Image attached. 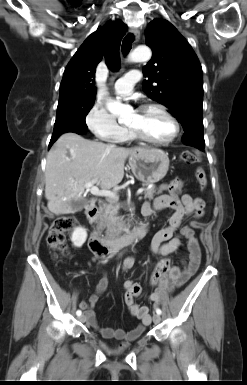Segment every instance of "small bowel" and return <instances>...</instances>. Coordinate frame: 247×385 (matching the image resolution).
Listing matches in <instances>:
<instances>
[{"mask_svg": "<svg viewBox=\"0 0 247 385\" xmlns=\"http://www.w3.org/2000/svg\"><path fill=\"white\" fill-rule=\"evenodd\" d=\"M182 186L183 182L179 179L169 184H164L161 190L167 191V194H160L154 201L145 203L142 208V213L145 216H151L156 211L164 208H170L173 211L168 226L157 231L151 242L152 251L163 257L159 263L168 261L170 264L167 273L158 274L155 269L151 278V284L156 285V289L148 296V300L153 302L155 306L160 303L164 294L172 292L175 288L184 285L195 274L201 260L200 246L194 231L195 228L199 227L200 223L196 220L191 221L190 225L186 226H183V223L190 216H194L195 218L202 217L205 211V202L200 197L182 194ZM181 238H184L187 243V260L183 261V266L180 268L176 265H171L170 259L167 256L179 248ZM134 263L135 260L132 257L125 259L122 263V270H130L134 266ZM132 284L137 287V293H134L130 289V285ZM107 287L108 277L104 273L96 286L95 292L88 300H82L80 302V308L84 311L85 321L104 338L123 341H133L137 339L151 323L149 308L135 302V296L141 293L140 285L131 281L124 283L125 303L130 313L140 320V324L128 332L121 329L101 327L97 321L94 306L106 291Z\"/></svg>", "mask_w": 247, "mask_h": 385, "instance_id": "c3829d8e", "label": "small bowel"}]
</instances>
